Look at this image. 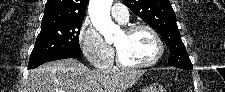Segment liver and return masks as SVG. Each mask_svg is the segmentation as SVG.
Masks as SVG:
<instances>
[{
	"instance_id": "obj_1",
	"label": "liver",
	"mask_w": 225,
	"mask_h": 92,
	"mask_svg": "<svg viewBox=\"0 0 225 92\" xmlns=\"http://www.w3.org/2000/svg\"><path fill=\"white\" fill-rule=\"evenodd\" d=\"M143 70L89 69L75 59L45 63L29 72L25 92H125Z\"/></svg>"
}]
</instances>
